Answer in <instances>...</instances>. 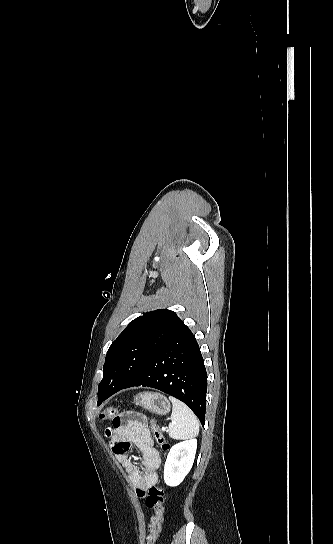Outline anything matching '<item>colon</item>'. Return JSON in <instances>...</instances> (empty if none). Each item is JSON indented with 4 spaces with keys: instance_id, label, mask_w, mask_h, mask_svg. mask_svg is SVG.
<instances>
[{
    "instance_id": "5ec220e1",
    "label": "colon",
    "mask_w": 333,
    "mask_h": 544,
    "mask_svg": "<svg viewBox=\"0 0 333 544\" xmlns=\"http://www.w3.org/2000/svg\"><path fill=\"white\" fill-rule=\"evenodd\" d=\"M118 409L116 407H107L100 414L101 421H107L114 419L117 416ZM151 430L156 444L165 452L170 448L169 443L163 437L160 427L155 421H151ZM164 488L161 485H154L150 487L148 493L145 496V504L148 508L154 510V515L151 519L149 527V535L147 538V544H154L161 532L163 516H164Z\"/></svg>"
}]
</instances>
